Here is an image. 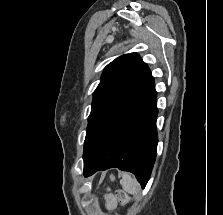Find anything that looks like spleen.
Listing matches in <instances>:
<instances>
[{
	"label": "spleen",
	"instance_id": "obj_1",
	"mask_svg": "<svg viewBox=\"0 0 223 215\" xmlns=\"http://www.w3.org/2000/svg\"><path fill=\"white\" fill-rule=\"evenodd\" d=\"M121 185H123V189L128 191V193H137L139 189V185L135 179H132L129 173H122V179H120Z\"/></svg>",
	"mask_w": 223,
	"mask_h": 215
}]
</instances>
